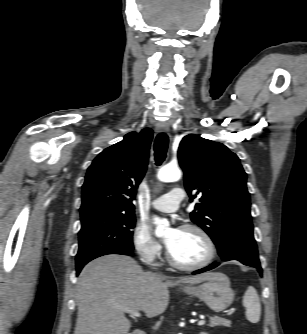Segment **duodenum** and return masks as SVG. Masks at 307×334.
<instances>
[{
    "instance_id": "1",
    "label": "duodenum",
    "mask_w": 307,
    "mask_h": 334,
    "mask_svg": "<svg viewBox=\"0 0 307 334\" xmlns=\"http://www.w3.org/2000/svg\"><path fill=\"white\" fill-rule=\"evenodd\" d=\"M132 334H146V333L144 330L136 329L135 331L132 332Z\"/></svg>"
}]
</instances>
